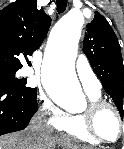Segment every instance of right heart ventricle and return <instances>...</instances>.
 <instances>
[{
	"label": "right heart ventricle",
	"mask_w": 124,
	"mask_h": 149,
	"mask_svg": "<svg viewBox=\"0 0 124 149\" xmlns=\"http://www.w3.org/2000/svg\"><path fill=\"white\" fill-rule=\"evenodd\" d=\"M88 96L91 100L100 99V93H88ZM60 130L79 141L91 145H98L100 143L92 138L86 131L81 114L68 115L65 124L60 128Z\"/></svg>",
	"instance_id": "right-heart-ventricle-1"
}]
</instances>
